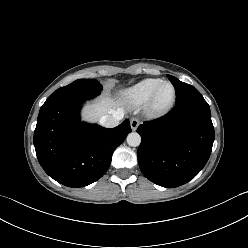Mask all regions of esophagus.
Masks as SVG:
<instances>
[{
  "label": "esophagus",
  "mask_w": 248,
  "mask_h": 248,
  "mask_svg": "<svg viewBox=\"0 0 248 248\" xmlns=\"http://www.w3.org/2000/svg\"><path fill=\"white\" fill-rule=\"evenodd\" d=\"M140 124V121L137 118H132L130 121V126L133 131H135Z\"/></svg>",
  "instance_id": "esophagus-1"
}]
</instances>
